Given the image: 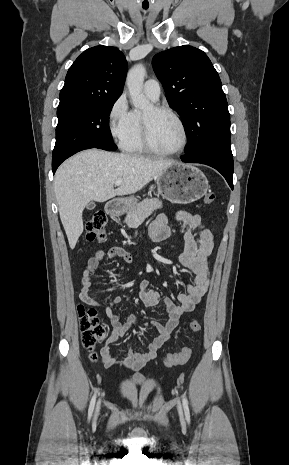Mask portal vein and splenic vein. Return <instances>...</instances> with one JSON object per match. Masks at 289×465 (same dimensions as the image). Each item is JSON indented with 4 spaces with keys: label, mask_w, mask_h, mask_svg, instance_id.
<instances>
[{
    "label": "portal vein and splenic vein",
    "mask_w": 289,
    "mask_h": 465,
    "mask_svg": "<svg viewBox=\"0 0 289 465\" xmlns=\"http://www.w3.org/2000/svg\"><path fill=\"white\" fill-rule=\"evenodd\" d=\"M123 183V180L119 179L115 182L116 186H120Z\"/></svg>",
    "instance_id": "obj_1"
}]
</instances>
